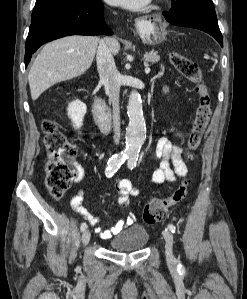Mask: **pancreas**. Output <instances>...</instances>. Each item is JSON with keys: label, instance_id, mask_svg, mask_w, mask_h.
I'll return each instance as SVG.
<instances>
[{"label": "pancreas", "instance_id": "obj_1", "mask_svg": "<svg viewBox=\"0 0 247 299\" xmlns=\"http://www.w3.org/2000/svg\"><path fill=\"white\" fill-rule=\"evenodd\" d=\"M144 61L148 63H157L160 59L159 55L155 51H151L149 53H146L143 57Z\"/></svg>", "mask_w": 247, "mask_h": 299}]
</instances>
